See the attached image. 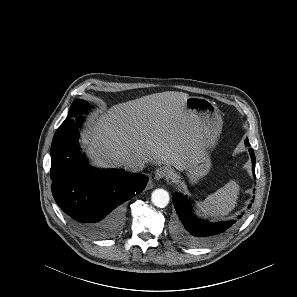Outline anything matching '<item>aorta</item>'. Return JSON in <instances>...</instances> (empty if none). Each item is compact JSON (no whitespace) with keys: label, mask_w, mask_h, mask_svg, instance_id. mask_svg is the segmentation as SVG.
Returning <instances> with one entry per match:
<instances>
[{"label":"aorta","mask_w":297,"mask_h":297,"mask_svg":"<svg viewBox=\"0 0 297 297\" xmlns=\"http://www.w3.org/2000/svg\"><path fill=\"white\" fill-rule=\"evenodd\" d=\"M169 194L164 189H156L152 192L151 201L156 207L164 208L169 203Z\"/></svg>","instance_id":"762f6f07"}]
</instances>
